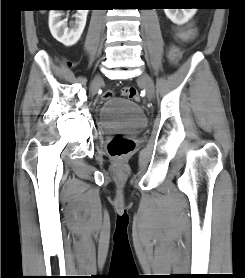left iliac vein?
Listing matches in <instances>:
<instances>
[{"instance_id": "4c4485c4", "label": "left iliac vein", "mask_w": 245, "mask_h": 278, "mask_svg": "<svg viewBox=\"0 0 245 278\" xmlns=\"http://www.w3.org/2000/svg\"><path fill=\"white\" fill-rule=\"evenodd\" d=\"M138 81L144 85L147 97L148 99L151 100L154 97L155 89H154V83L151 77L149 76V74L146 73L145 71H142L138 77Z\"/></svg>"}]
</instances>
